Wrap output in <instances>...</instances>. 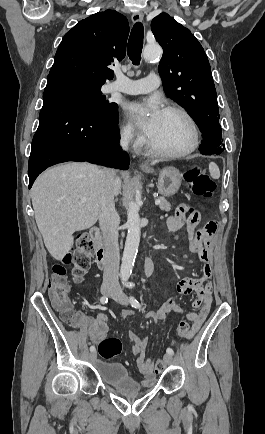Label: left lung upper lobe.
Segmentation results:
<instances>
[{
    "label": "left lung upper lobe",
    "mask_w": 265,
    "mask_h": 434,
    "mask_svg": "<svg viewBox=\"0 0 265 434\" xmlns=\"http://www.w3.org/2000/svg\"><path fill=\"white\" fill-rule=\"evenodd\" d=\"M151 29L163 48L158 71L166 95L190 114L204 140L224 147L216 89L203 47L167 13L156 16Z\"/></svg>",
    "instance_id": "obj_1"
}]
</instances>
